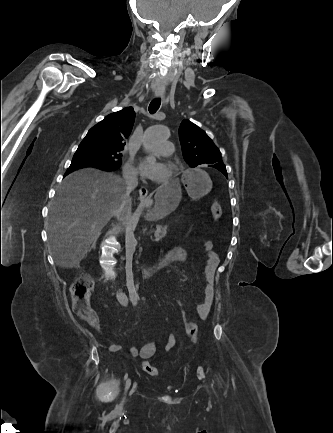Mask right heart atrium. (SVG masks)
Returning a JSON list of instances; mask_svg holds the SVG:
<instances>
[{
  "instance_id": "obj_1",
  "label": "right heart atrium",
  "mask_w": 333,
  "mask_h": 433,
  "mask_svg": "<svg viewBox=\"0 0 333 433\" xmlns=\"http://www.w3.org/2000/svg\"><path fill=\"white\" fill-rule=\"evenodd\" d=\"M124 174L126 177L133 179L137 176V170L132 160H128L124 166Z\"/></svg>"
}]
</instances>
